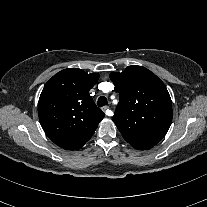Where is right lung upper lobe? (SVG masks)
Masks as SVG:
<instances>
[{
  "label": "right lung upper lobe",
  "mask_w": 207,
  "mask_h": 207,
  "mask_svg": "<svg viewBox=\"0 0 207 207\" xmlns=\"http://www.w3.org/2000/svg\"><path fill=\"white\" fill-rule=\"evenodd\" d=\"M98 78L96 73L68 68L55 74L44 86L38 115L46 135L58 146L69 150L81 148L104 118L89 95Z\"/></svg>",
  "instance_id": "1"
}]
</instances>
